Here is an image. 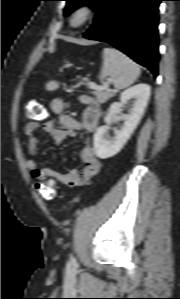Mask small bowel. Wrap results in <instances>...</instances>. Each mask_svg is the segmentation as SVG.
Instances as JSON below:
<instances>
[{
	"label": "small bowel",
	"mask_w": 180,
	"mask_h": 299,
	"mask_svg": "<svg viewBox=\"0 0 180 299\" xmlns=\"http://www.w3.org/2000/svg\"><path fill=\"white\" fill-rule=\"evenodd\" d=\"M80 100L90 105L87 108L81 120L73 118L65 112V100L61 97L54 98L51 101V110L57 117V123L53 120L29 121L25 126V133L28 136V152L31 155H37L39 140L35 136V131L41 126L42 129L50 134L56 145H62L67 140L75 137L78 131L92 133L98 126L100 110L94 105L90 97L82 96ZM80 158L84 164L81 170L70 169L61 173L53 168L39 167L34 160L27 161V168L35 179L43 180L46 178L56 179L58 182L69 186L78 187L87 184L101 169V161L95 155L91 146H84L80 151Z\"/></svg>",
	"instance_id": "obj_1"
}]
</instances>
